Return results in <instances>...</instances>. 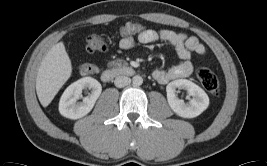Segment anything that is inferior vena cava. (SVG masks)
<instances>
[{
	"label": "inferior vena cava",
	"mask_w": 267,
	"mask_h": 166,
	"mask_svg": "<svg viewBox=\"0 0 267 166\" xmlns=\"http://www.w3.org/2000/svg\"><path fill=\"white\" fill-rule=\"evenodd\" d=\"M131 83V79L127 76H117L115 78V81H114V84L116 87L118 88H122V87H125L127 85H129Z\"/></svg>",
	"instance_id": "obj_1"
}]
</instances>
